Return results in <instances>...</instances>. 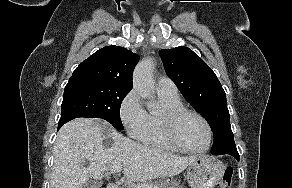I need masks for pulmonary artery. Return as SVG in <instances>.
<instances>
[{"label":"pulmonary artery","instance_id":"1","mask_svg":"<svg viewBox=\"0 0 292 188\" xmlns=\"http://www.w3.org/2000/svg\"><path fill=\"white\" fill-rule=\"evenodd\" d=\"M156 89L160 94L170 97L178 96V90L175 83L167 77H161L158 79Z\"/></svg>","mask_w":292,"mask_h":188}]
</instances>
